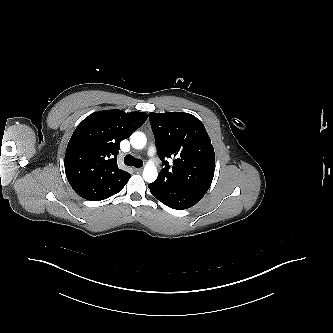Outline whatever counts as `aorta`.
<instances>
[{
    "label": "aorta",
    "mask_w": 333,
    "mask_h": 333,
    "mask_svg": "<svg viewBox=\"0 0 333 333\" xmlns=\"http://www.w3.org/2000/svg\"><path fill=\"white\" fill-rule=\"evenodd\" d=\"M147 138L142 132H134L130 137V143L135 149H142L145 147ZM143 178L146 182L151 183L157 179L158 171L153 163H148L143 170Z\"/></svg>",
    "instance_id": "obj_1"
}]
</instances>
